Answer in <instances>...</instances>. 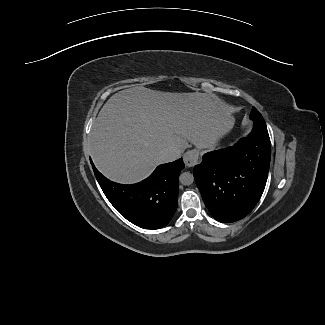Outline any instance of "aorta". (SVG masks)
I'll return each mask as SVG.
<instances>
[{
  "instance_id": "aorta-1",
  "label": "aorta",
  "mask_w": 325,
  "mask_h": 325,
  "mask_svg": "<svg viewBox=\"0 0 325 325\" xmlns=\"http://www.w3.org/2000/svg\"><path fill=\"white\" fill-rule=\"evenodd\" d=\"M179 181L183 184V185H191L194 181V176L193 174H191L190 172H184L180 175L179 177Z\"/></svg>"
}]
</instances>
